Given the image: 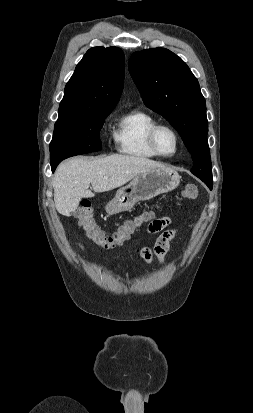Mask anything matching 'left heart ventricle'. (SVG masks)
Listing matches in <instances>:
<instances>
[{"label":"left heart ventricle","mask_w":253,"mask_h":413,"mask_svg":"<svg viewBox=\"0 0 253 413\" xmlns=\"http://www.w3.org/2000/svg\"><path fill=\"white\" fill-rule=\"evenodd\" d=\"M157 145L162 153L172 154L176 149L174 135L168 129H160L157 133Z\"/></svg>","instance_id":"obj_1"}]
</instances>
